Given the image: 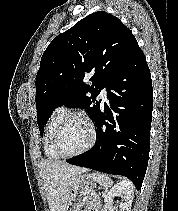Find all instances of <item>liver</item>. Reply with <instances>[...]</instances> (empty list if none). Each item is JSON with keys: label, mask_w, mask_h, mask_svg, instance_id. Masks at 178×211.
Here are the masks:
<instances>
[{"label": "liver", "mask_w": 178, "mask_h": 211, "mask_svg": "<svg viewBox=\"0 0 178 211\" xmlns=\"http://www.w3.org/2000/svg\"><path fill=\"white\" fill-rule=\"evenodd\" d=\"M86 170L58 161H41L40 175L50 211H65L72 184Z\"/></svg>", "instance_id": "6515ba94"}]
</instances>
